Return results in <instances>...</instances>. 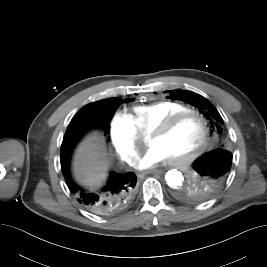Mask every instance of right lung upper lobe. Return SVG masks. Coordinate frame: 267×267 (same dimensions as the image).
Here are the masks:
<instances>
[{
    "label": "right lung upper lobe",
    "mask_w": 267,
    "mask_h": 267,
    "mask_svg": "<svg viewBox=\"0 0 267 267\" xmlns=\"http://www.w3.org/2000/svg\"><path fill=\"white\" fill-rule=\"evenodd\" d=\"M100 102L101 101H98V102H95V103H91V104H93V105H99V104H101Z\"/></svg>",
    "instance_id": "cb5924a9"
}]
</instances>
